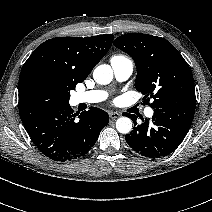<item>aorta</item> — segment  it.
I'll use <instances>...</instances> for the list:
<instances>
[{"label":"aorta","instance_id":"obj_1","mask_svg":"<svg viewBox=\"0 0 212 212\" xmlns=\"http://www.w3.org/2000/svg\"><path fill=\"white\" fill-rule=\"evenodd\" d=\"M93 78L99 84H109L113 79V70L107 64L99 65L93 71ZM116 129L122 134H128L132 130V120L128 117L118 118Z\"/></svg>","mask_w":212,"mask_h":212}]
</instances>
